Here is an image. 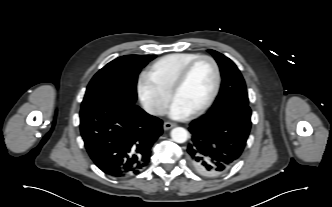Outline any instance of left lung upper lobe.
Here are the masks:
<instances>
[{
  "mask_svg": "<svg viewBox=\"0 0 332 207\" xmlns=\"http://www.w3.org/2000/svg\"><path fill=\"white\" fill-rule=\"evenodd\" d=\"M209 52L217 61L222 76L220 92L210 111L230 104L248 105L245 81L237 66L223 54L214 50H209Z\"/></svg>",
  "mask_w": 332,
  "mask_h": 207,
  "instance_id": "1",
  "label": "left lung upper lobe"
}]
</instances>
